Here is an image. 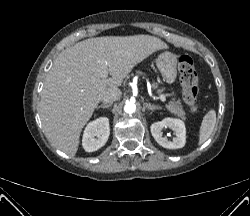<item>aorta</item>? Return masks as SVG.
<instances>
[{"instance_id":"1","label":"aorta","mask_w":250,"mask_h":216,"mask_svg":"<svg viewBox=\"0 0 250 216\" xmlns=\"http://www.w3.org/2000/svg\"><path fill=\"white\" fill-rule=\"evenodd\" d=\"M136 110V105L133 102H126L124 106V111L128 114L134 113Z\"/></svg>"}]
</instances>
